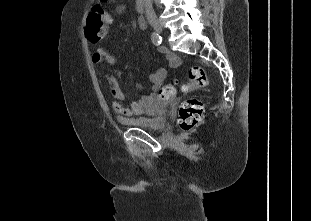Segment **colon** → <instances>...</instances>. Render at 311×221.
Instances as JSON below:
<instances>
[{"label":"colon","instance_id":"1","mask_svg":"<svg viewBox=\"0 0 311 221\" xmlns=\"http://www.w3.org/2000/svg\"><path fill=\"white\" fill-rule=\"evenodd\" d=\"M88 19L91 23L87 26V39L93 43L98 42L104 35L110 22V15L99 3L90 9ZM102 34L100 35V31ZM206 70L201 67H190L188 78L181 84L183 92H190L196 89H202L206 86ZM166 88H158L157 99H170L174 93L173 85H166ZM204 106L203 103L195 98H188L181 102L177 122L183 131H191L203 122Z\"/></svg>","mask_w":311,"mask_h":221}]
</instances>
